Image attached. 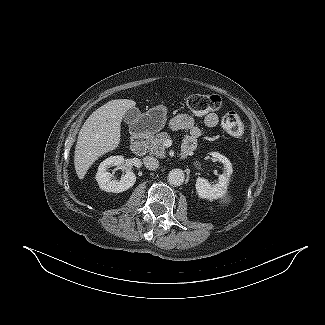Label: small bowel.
<instances>
[{
  "label": "small bowel",
  "mask_w": 325,
  "mask_h": 325,
  "mask_svg": "<svg viewBox=\"0 0 325 325\" xmlns=\"http://www.w3.org/2000/svg\"><path fill=\"white\" fill-rule=\"evenodd\" d=\"M203 124L207 128H214L218 124V116L215 113H208L203 118ZM170 127L174 130H186L189 134L183 142V146L188 145L196 148L197 140L201 135V129L196 125L195 120L188 114H179L175 116Z\"/></svg>",
  "instance_id": "c3829d8e"
}]
</instances>
